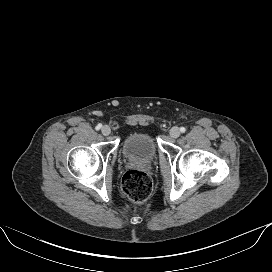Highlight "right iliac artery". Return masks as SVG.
I'll return each instance as SVG.
<instances>
[{
	"label": "right iliac artery",
	"instance_id": "right-iliac-artery-1",
	"mask_svg": "<svg viewBox=\"0 0 272 272\" xmlns=\"http://www.w3.org/2000/svg\"><path fill=\"white\" fill-rule=\"evenodd\" d=\"M101 127H102V125H101V124H98V125L96 126V130L101 129Z\"/></svg>",
	"mask_w": 272,
	"mask_h": 272
}]
</instances>
